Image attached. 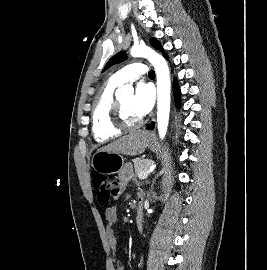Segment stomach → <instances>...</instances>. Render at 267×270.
I'll list each match as a JSON object with an SVG mask.
<instances>
[{"label":"stomach","instance_id":"obj_1","mask_svg":"<svg viewBox=\"0 0 267 270\" xmlns=\"http://www.w3.org/2000/svg\"><path fill=\"white\" fill-rule=\"evenodd\" d=\"M148 145L151 149H155V143L148 139ZM125 159L120 153L97 151L92 157V167L95 171L102 174L118 173L124 166Z\"/></svg>","mask_w":267,"mask_h":270}]
</instances>
